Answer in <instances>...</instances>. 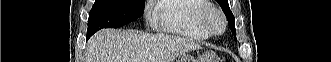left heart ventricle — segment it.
<instances>
[{
    "instance_id": "left-heart-ventricle-1",
    "label": "left heart ventricle",
    "mask_w": 331,
    "mask_h": 62,
    "mask_svg": "<svg viewBox=\"0 0 331 62\" xmlns=\"http://www.w3.org/2000/svg\"><path fill=\"white\" fill-rule=\"evenodd\" d=\"M215 24L219 26L218 20L215 18Z\"/></svg>"
}]
</instances>
